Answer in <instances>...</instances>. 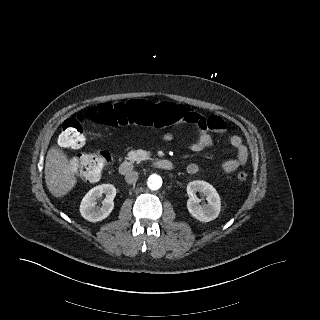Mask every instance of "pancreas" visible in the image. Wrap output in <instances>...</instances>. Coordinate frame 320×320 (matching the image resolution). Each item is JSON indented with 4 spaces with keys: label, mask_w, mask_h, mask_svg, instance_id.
<instances>
[{
    "label": "pancreas",
    "mask_w": 320,
    "mask_h": 320,
    "mask_svg": "<svg viewBox=\"0 0 320 320\" xmlns=\"http://www.w3.org/2000/svg\"><path fill=\"white\" fill-rule=\"evenodd\" d=\"M127 156L131 162H140L144 159L143 153L140 150H131Z\"/></svg>",
    "instance_id": "obj_1"
}]
</instances>
